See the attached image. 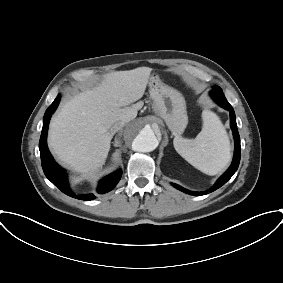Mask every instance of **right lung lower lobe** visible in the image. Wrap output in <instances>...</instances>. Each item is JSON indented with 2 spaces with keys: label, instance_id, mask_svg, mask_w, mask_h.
I'll list each match as a JSON object with an SVG mask.
<instances>
[{
  "label": "right lung lower lobe",
  "instance_id": "obj_1",
  "mask_svg": "<svg viewBox=\"0 0 283 283\" xmlns=\"http://www.w3.org/2000/svg\"><path fill=\"white\" fill-rule=\"evenodd\" d=\"M59 102H60V95L56 97L54 102L48 107V109L44 114L43 128L39 141V150L41 155V163H42L43 171L46 177L48 178V180H50L66 195L81 200H87V201L92 200L95 198L93 194L77 196L71 191L67 182V176L65 171L54 161L53 157L51 156L47 148L46 138H47L49 121L53 112L56 110ZM121 175H122L121 170H118L117 172L105 177L99 185L98 192L105 193L112 190L119 182Z\"/></svg>",
  "mask_w": 283,
  "mask_h": 283
}]
</instances>
